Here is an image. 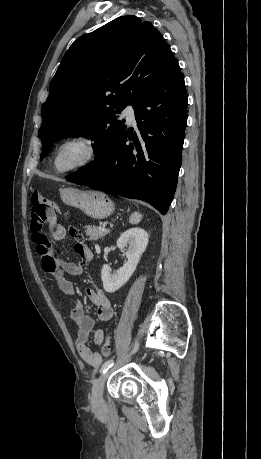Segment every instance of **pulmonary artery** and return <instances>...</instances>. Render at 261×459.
<instances>
[{"label": "pulmonary artery", "mask_w": 261, "mask_h": 459, "mask_svg": "<svg viewBox=\"0 0 261 459\" xmlns=\"http://www.w3.org/2000/svg\"><path fill=\"white\" fill-rule=\"evenodd\" d=\"M123 115L126 117L128 122H133L135 120L134 108L132 106H127L123 110Z\"/></svg>", "instance_id": "obj_1"}]
</instances>
